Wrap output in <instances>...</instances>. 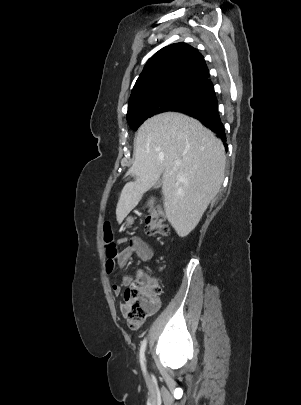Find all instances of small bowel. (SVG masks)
Returning <instances> with one entry per match:
<instances>
[{
    "mask_svg": "<svg viewBox=\"0 0 301 405\" xmlns=\"http://www.w3.org/2000/svg\"><path fill=\"white\" fill-rule=\"evenodd\" d=\"M118 251L113 258H108L106 261V270L110 273L117 266L120 271H123L129 262L137 257L144 262H149L154 257V251L150 245L138 235L130 237H122L117 240ZM122 285H130L133 278L129 275H122ZM122 285L114 284L112 286L113 292L116 296L122 293Z\"/></svg>",
    "mask_w": 301,
    "mask_h": 405,
    "instance_id": "small-bowel-1",
    "label": "small bowel"
}]
</instances>
